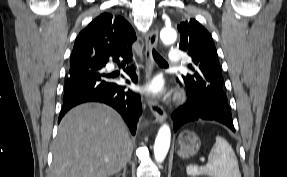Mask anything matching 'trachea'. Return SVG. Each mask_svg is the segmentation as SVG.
I'll list each match as a JSON object with an SVG mask.
<instances>
[{
    "mask_svg": "<svg viewBox=\"0 0 287 177\" xmlns=\"http://www.w3.org/2000/svg\"><path fill=\"white\" fill-rule=\"evenodd\" d=\"M152 55L153 58L155 59V61L162 66H168V64L166 63V61L156 52V50L153 48L152 49Z\"/></svg>",
    "mask_w": 287,
    "mask_h": 177,
    "instance_id": "3493384b",
    "label": "trachea"
}]
</instances>
